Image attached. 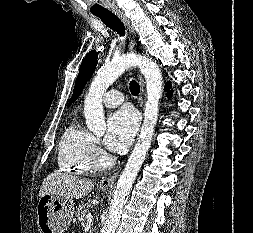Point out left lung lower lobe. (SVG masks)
<instances>
[{
	"mask_svg": "<svg viewBox=\"0 0 253 233\" xmlns=\"http://www.w3.org/2000/svg\"><path fill=\"white\" fill-rule=\"evenodd\" d=\"M170 87H171L170 83H167L165 86V91L168 92L170 90ZM171 94H172V92L170 91L168 95L171 96Z\"/></svg>",
	"mask_w": 253,
	"mask_h": 233,
	"instance_id": "0a47b994",
	"label": "left lung lower lobe"
}]
</instances>
